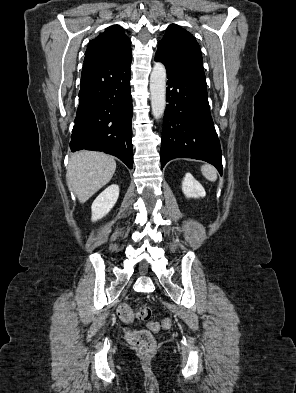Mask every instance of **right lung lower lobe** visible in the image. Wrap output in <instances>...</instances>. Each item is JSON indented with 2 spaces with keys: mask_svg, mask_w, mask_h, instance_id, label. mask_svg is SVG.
<instances>
[{
  "mask_svg": "<svg viewBox=\"0 0 296 393\" xmlns=\"http://www.w3.org/2000/svg\"><path fill=\"white\" fill-rule=\"evenodd\" d=\"M130 66L131 56L84 61L70 142L72 152L103 151L132 169Z\"/></svg>",
  "mask_w": 296,
  "mask_h": 393,
  "instance_id": "98d812e1",
  "label": "right lung lower lobe"
}]
</instances>
